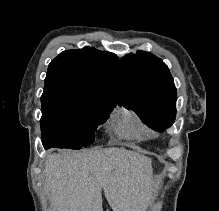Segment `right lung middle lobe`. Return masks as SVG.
<instances>
[{
	"mask_svg": "<svg viewBox=\"0 0 219 211\" xmlns=\"http://www.w3.org/2000/svg\"><path fill=\"white\" fill-rule=\"evenodd\" d=\"M41 138L49 148L80 149L93 143L94 131L116 104L92 103L62 96L41 97Z\"/></svg>",
	"mask_w": 219,
	"mask_h": 211,
	"instance_id": "right-lung-middle-lobe-1",
	"label": "right lung middle lobe"
}]
</instances>
